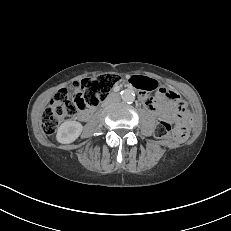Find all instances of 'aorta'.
I'll return each mask as SVG.
<instances>
[{"mask_svg":"<svg viewBox=\"0 0 231 231\" xmlns=\"http://www.w3.org/2000/svg\"><path fill=\"white\" fill-rule=\"evenodd\" d=\"M122 100L125 102H133L135 99V94L131 90H124L121 94Z\"/></svg>","mask_w":231,"mask_h":231,"instance_id":"aorta-1","label":"aorta"}]
</instances>
